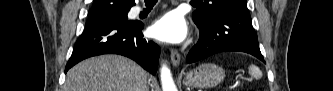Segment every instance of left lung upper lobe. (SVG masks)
Instances as JSON below:
<instances>
[{
	"instance_id": "5c2ea615",
	"label": "left lung upper lobe",
	"mask_w": 333,
	"mask_h": 91,
	"mask_svg": "<svg viewBox=\"0 0 333 91\" xmlns=\"http://www.w3.org/2000/svg\"><path fill=\"white\" fill-rule=\"evenodd\" d=\"M196 11L193 12V20L197 26L212 19L218 12L228 9L247 8L246 0H199Z\"/></svg>"
}]
</instances>
